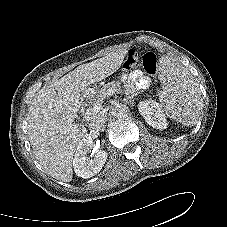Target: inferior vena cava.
I'll return each instance as SVG.
<instances>
[{
	"label": "inferior vena cava",
	"mask_w": 227,
	"mask_h": 227,
	"mask_svg": "<svg viewBox=\"0 0 227 227\" xmlns=\"http://www.w3.org/2000/svg\"><path fill=\"white\" fill-rule=\"evenodd\" d=\"M106 120H107V113H105L104 111H100L99 113L94 114L90 118L89 127L91 129L98 130L104 126Z\"/></svg>",
	"instance_id": "obj_1"
}]
</instances>
